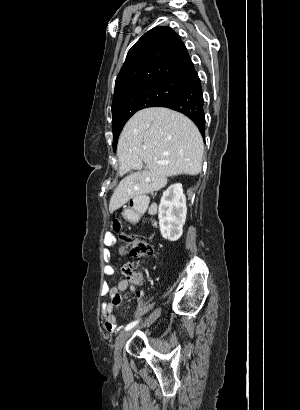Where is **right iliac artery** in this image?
Listing matches in <instances>:
<instances>
[{
  "label": "right iliac artery",
  "instance_id": "right-iliac-artery-1",
  "mask_svg": "<svg viewBox=\"0 0 300 410\" xmlns=\"http://www.w3.org/2000/svg\"><path fill=\"white\" fill-rule=\"evenodd\" d=\"M139 320L133 321L131 323H129L126 327H125V331H128L130 329H132L134 326H136L138 324Z\"/></svg>",
  "mask_w": 300,
  "mask_h": 410
}]
</instances>
